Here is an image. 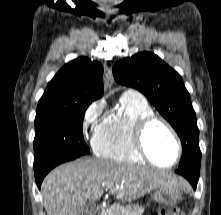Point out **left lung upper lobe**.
I'll return each instance as SVG.
<instances>
[{"instance_id": "1", "label": "left lung upper lobe", "mask_w": 221, "mask_h": 215, "mask_svg": "<svg viewBox=\"0 0 221 215\" xmlns=\"http://www.w3.org/2000/svg\"><path fill=\"white\" fill-rule=\"evenodd\" d=\"M113 75L119 84L142 92L175 129L183 147L178 169L199 171V129L181 76L157 55L146 51L118 61Z\"/></svg>"}]
</instances>
